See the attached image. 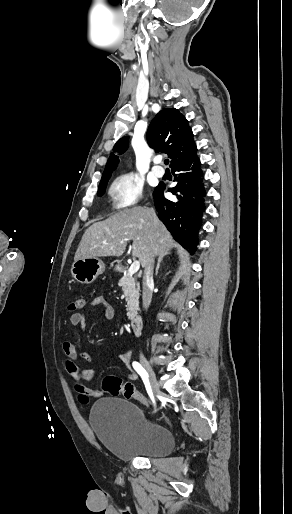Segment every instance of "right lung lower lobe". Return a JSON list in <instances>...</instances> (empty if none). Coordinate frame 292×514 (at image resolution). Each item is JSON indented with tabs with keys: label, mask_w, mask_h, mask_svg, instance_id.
<instances>
[{
	"label": "right lung lower lobe",
	"mask_w": 292,
	"mask_h": 514,
	"mask_svg": "<svg viewBox=\"0 0 292 514\" xmlns=\"http://www.w3.org/2000/svg\"><path fill=\"white\" fill-rule=\"evenodd\" d=\"M176 186L169 188L175 198L166 199L165 184L159 183L153 192L159 219L185 249L196 250L198 231L205 211L206 188L204 174L197 154L171 168Z\"/></svg>",
	"instance_id": "1"
}]
</instances>
